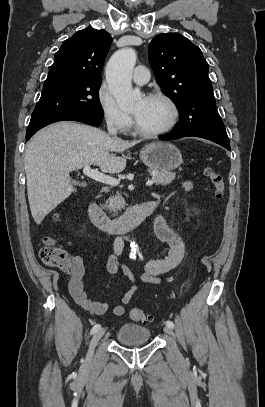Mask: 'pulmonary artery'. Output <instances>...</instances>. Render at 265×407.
<instances>
[{
	"label": "pulmonary artery",
	"mask_w": 265,
	"mask_h": 407,
	"mask_svg": "<svg viewBox=\"0 0 265 407\" xmlns=\"http://www.w3.org/2000/svg\"><path fill=\"white\" fill-rule=\"evenodd\" d=\"M149 78H150V72L145 66L139 65V66L135 67L133 74H132V79H133L134 83L143 85L149 81Z\"/></svg>",
	"instance_id": "1"
}]
</instances>
